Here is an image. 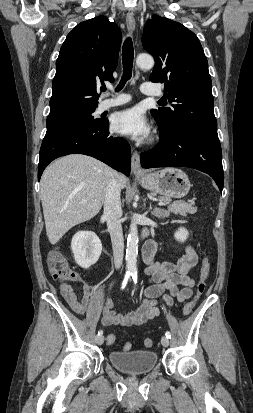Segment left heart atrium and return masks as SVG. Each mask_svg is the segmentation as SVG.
Returning <instances> with one entry per match:
<instances>
[{"instance_id": "left-heart-atrium-1", "label": "left heart atrium", "mask_w": 253, "mask_h": 413, "mask_svg": "<svg viewBox=\"0 0 253 413\" xmlns=\"http://www.w3.org/2000/svg\"><path fill=\"white\" fill-rule=\"evenodd\" d=\"M111 128L115 133L128 136L136 140H142L149 136L151 126L138 107L119 111L114 114Z\"/></svg>"}]
</instances>
